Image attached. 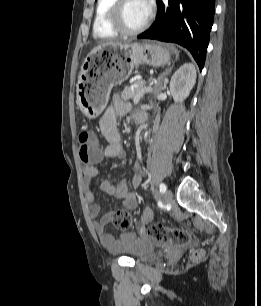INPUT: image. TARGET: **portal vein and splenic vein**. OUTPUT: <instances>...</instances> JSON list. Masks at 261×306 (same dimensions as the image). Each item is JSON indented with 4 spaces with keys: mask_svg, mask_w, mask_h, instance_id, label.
I'll return each instance as SVG.
<instances>
[{
    "mask_svg": "<svg viewBox=\"0 0 261 306\" xmlns=\"http://www.w3.org/2000/svg\"><path fill=\"white\" fill-rule=\"evenodd\" d=\"M154 83L156 84V81H155ZM150 88H151V84L147 87V89H146L145 91H146V92L149 91ZM140 98H141L140 96H136V97L134 98V103H137V102L139 101Z\"/></svg>",
    "mask_w": 261,
    "mask_h": 306,
    "instance_id": "obj_1",
    "label": "portal vein and splenic vein"
}]
</instances>
